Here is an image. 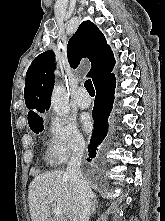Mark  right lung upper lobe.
Instances as JSON below:
<instances>
[{
	"mask_svg": "<svg viewBox=\"0 0 165 221\" xmlns=\"http://www.w3.org/2000/svg\"><path fill=\"white\" fill-rule=\"evenodd\" d=\"M54 53L44 52L31 63L26 73L24 97L26 106L31 109L28 122L41 118L38 113H44L50 107V95L54 87ZM67 57L72 68H76L82 57L91 62V77L96 86L109 77L115 60L104 35L91 21H84L67 45Z\"/></svg>",
	"mask_w": 165,
	"mask_h": 221,
	"instance_id": "obj_1",
	"label": "right lung upper lobe"
}]
</instances>
